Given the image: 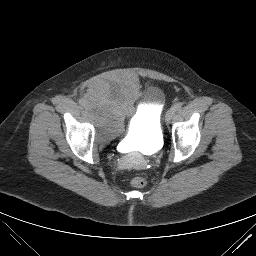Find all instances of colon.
Here are the masks:
<instances>
[{
  "mask_svg": "<svg viewBox=\"0 0 256 256\" xmlns=\"http://www.w3.org/2000/svg\"><path fill=\"white\" fill-rule=\"evenodd\" d=\"M146 184L147 180L143 176H136L130 181V185L134 188H142Z\"/></svg>",
  "mask_w": 256,
  "mask_h": 256,
  "instance_id": "5ec220e1",
  "label": "colon"
}]
</instances>
